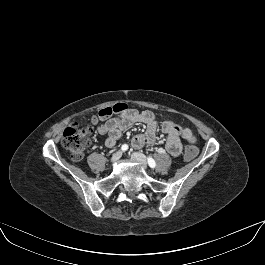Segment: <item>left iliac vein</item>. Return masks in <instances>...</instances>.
Here are the masks:
<instances>
[{
    "label": "left iliac vein",
    "instance_id": "left-iliac-vein-1",
    "mask_svg": "<svg viewBox=\"0 0 265 265\" xmlns=\"http://www.w3.org/2000/svg\"><path fill=\"white\" fill-rule=\"evenodd\" d=\"M132 158L137 161L144 169H147V159L146 156L140 152L132 153Z\"/></svg>",
    "mask_w": 265,
    "mask_h": 265
}]
</instances>
